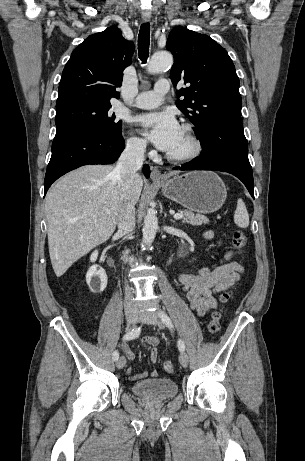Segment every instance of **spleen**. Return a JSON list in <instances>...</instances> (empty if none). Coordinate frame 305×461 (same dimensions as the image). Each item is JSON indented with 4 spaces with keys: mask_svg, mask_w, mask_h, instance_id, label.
<instances>
[{
    "mask_svg": "<svg viewBox=\"0 0 305 461\" xmlns=\"http://www.w3.org/2000/svg\"><path fill=\"white\" fill-rule=\"evenodd\" d=\"M234 222L240 228H247L249 226V215L242 199H238L237 201Z\"/></svg>",
    "mask_w": 305,
    "mask_h": 461,
    "instance_id": "spleen-1",
    "label": "spleen"
}]
</instances>
